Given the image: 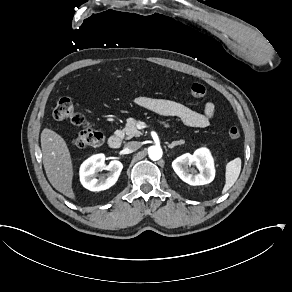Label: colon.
I'll return each mask as SVG.
<instances>
[{
  "instance_id": "1",
  "label": "colon",
  "mask_w": 292,
  "mask_h": 292,
  "mask_svg": "<svg viewBox=\"0 0 292 292\" xmlns=\"http://www.w3.org/2000/svg\"><path fill=\"white\" fill-rule=\"evenodd\" d=\"M190 93L196 98H206L208 91L201 83H193L190 86ZM53 116L57 120H67L73 125L88 126V120L84 113L80 111L73 101L68 97H62L58 100ZM228 135L231 140H237L240 137L239 127L233 125L228 129ZM104 140L103 133L95 128L87 127L84 130L76 132L73 135L72 143L76 148L96 147Z\"/></svg>"
}]
</instances>
